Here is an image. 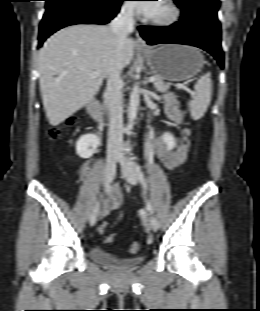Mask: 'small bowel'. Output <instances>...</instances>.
<instances>
[{"instance_id": "c3829d8e", "label": "small bowel", "mask_w": 260, "mask_h": 311, "mask_svg": "<svg viewBox=\"0 0 260 311\" xmlns=\"http://www.w3.org/2000/svg\"><path fill=\"white\" fill-rule=\"evenodd\" d=\"M165 117L170 125L175 126L181 132L182 140L174 149L169 148L161 139L156 141L157 156L168 170H173L184 162L188 154V147L185 140L188 138L190 131L183 124L182 112L178 102L172 94L165 96ZM122 194L119 184H114L108 197L103 205V215H107L110 211L118 210L122 206Z\"/></svg>"}]
</instances>
